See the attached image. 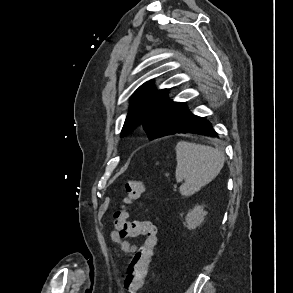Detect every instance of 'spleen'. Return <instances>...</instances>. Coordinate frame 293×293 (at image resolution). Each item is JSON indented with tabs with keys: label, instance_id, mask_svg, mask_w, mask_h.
<instances>
[{
	"label": "spleen",
	"instance_id": "1",
	"mask_svg": "<svg viewBox=\"0 0 293 293\" xmlns=\"http://www.w3.org/2000/svg\"><path fill=\"white\" fill-rule=\"evenodd\" d=\"M175 177L182 196L188 197L210 183L223 168L225 157L211 146L180 141L176 146Z\"/></svg>",
	"mask_w": 293,
	"mask_h": 293
}]
</instances>
